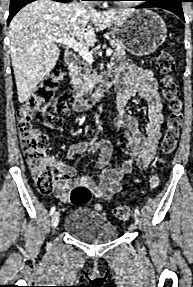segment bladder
I'll return each mask as SVG.
<instances>
[{
    "instance_id": "31cf9c89",
    "label": "bladder",
    "mask_w": 193,
    "mask_h": 287,
    "mask_svg": "<svg viewBox=\"0 0 193 287\" xmlns=\"http://www.w3.org/2000/svg\"><path fill=\"white\" fill-rule=\"evenodd\" d=\"M64 229L72 237L88 243L108 242L119 234L117 226L106 216L87 208L71 212L65 220Z\"/></svg>"
}]
</instances>
